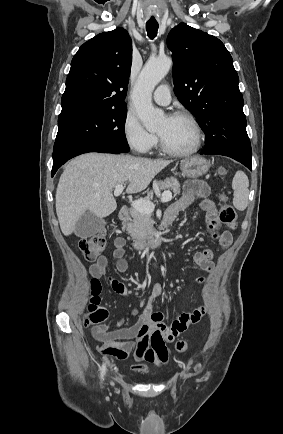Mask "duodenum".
<instances>
[{"label":"duodenum","instance_id":"1","mask_svg":"<svg viewBox=\"0 0 283 434\" xmlns=\"http://www.w3.org/2000/svg\"><path fill=\"white\" fill-rule=\"evenodd\" d=\"M119 219L122 221H126L128 219L129 216V207L128 206H124L121 208V210L119 211ZM168 226V223L166 221H163L162 223V227H161V231L158 235L152 236L148 241H146L145 243H138L136 246L139 249H155L157 247H159L162 242L163 239L165 237V230Z\"/></svg>","mask_w":283,"mask_h":434}]
</instances>
